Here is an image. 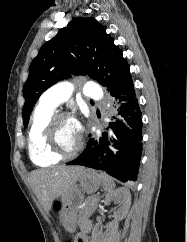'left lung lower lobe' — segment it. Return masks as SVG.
<instances>
[{
	"label": "left lung lower lobe",
	"mask_w": 187,
	"mask_h": 242,
	"mask_svg": "<svg viewBox=\"0 0 187 242\" xmlns=\"http://www.w3.org/2000/svg\"><path fill=\"white\" fill-rule=\"evenodd\" d=\"M119 105L100 139L91 138L82 154L69 165H82L107 174L122 182L137 180L142 155L141 111L130 74L110 90Z\"/></svg>",
	"instance_id": "left-lung-lower-lobe-1"
}]
</instances>
